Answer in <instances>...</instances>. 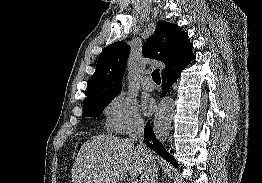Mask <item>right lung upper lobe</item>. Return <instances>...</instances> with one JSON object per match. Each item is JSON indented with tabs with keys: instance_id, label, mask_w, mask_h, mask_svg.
<instances>
[{
	"instance_id": "right-lung-upper-lobe-1",
	"label": "right lung upper lobe",
	"mask_w": 262,
	"mask_h": 183,
	"mask_svg": "<svg viewBox=\"0 0 262 183\" xmlns=\"http://www.w3.org/2000/svg\"><path fill=\"white\" fill-rule=\"evenodd\" d=\"M192 47L188 34L178 25L161 21L144 44L143 53L147 58L164 62L163 77L182 71L195 59ZM129 54L130 46L125 42H115L101 52L84 102L116 96L120 92Z\"/></svg>"
}]
</instances>
